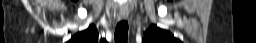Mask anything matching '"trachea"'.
I'll list each match as a JSON object with an SVG mask.
<instances>
[{
	"instance_id": "3493384b",
	"label": "trachea",
	"mask_w": 256,
	"mask_h": 43,
	"mask_svg": "<svg viewBox=\"0 0 256 43\" xmlns=\"http://www.w3.org/2000/svg\"><path fill=\"white\" fill-rule=\"evenodd\" d=\"M128 22L121 20L115 28V43H127Z\"/></svg>"
}]
</instances>
